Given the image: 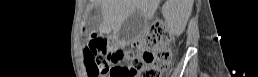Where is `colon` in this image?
I'll return each instance as SVG.
<instances>
[{"label":"colon","mask_w":258,"mask_h":77,"mask_svg":"<svg viewBox=\"0 0 258 77\" xmlns=\"http://www.w3.org/2000/svg\"><path fill=\"white\" fill-rule=\"evenodd\" d=\"M172 37L165 24L156 22L127 49L113 48L103 35L92 34L85 52L91 76L162 77L174 59Z\"/></svg>","instance_id":"5ec220e1"}]
</instances>
